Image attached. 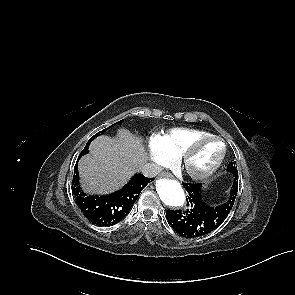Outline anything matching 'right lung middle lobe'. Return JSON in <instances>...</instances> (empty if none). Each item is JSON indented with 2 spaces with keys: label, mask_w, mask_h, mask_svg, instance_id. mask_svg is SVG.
Returning a JSON list of instances; mask_svg holds the SVG:
<instances>
[{
  "label": "right lung middle lobe",
  "mask_w": 295,
  "mask_h": 295,
  "mask_svg": "<svg viewBox=\"0 0 295 295\" xmlns=\"http://www.w3.org/2000/svg\"><path fill=\"white\" fill-rule=\"evenodd\" d=\"M122 122H123V120L119 121V123H122ZM112 126H113V125H112ZM112 126H110V127L107 128V129L102 130L101 132L96 133L92 138H90V140L87 142V144H86V146H85V148L83 149L82 152L86 151V148L89 147L90 142H91L95 137L99 136V135L102 134L104 131L110 129Z\"/></svg>",
  "instance_id": "obj_1"
}]
</instances>
